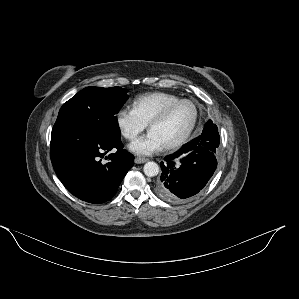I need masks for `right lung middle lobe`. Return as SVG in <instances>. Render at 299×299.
Here are the masks:
<instances>
[{
    "label": "right lung middle lobe",
    "mask_w": 299,
    "mask_h": 299,
    "mask_svg": "<svg viewBox=\"0 0 299 299\" xmlns=\"http://www.w3.org/2000/svg\"><path fill=\"white\" fill-rule=\"evenodd\" d=\"M127 98V90L120 87L84 88L61 107L51 139L75 132L120 138L116 114Z\"/></svg>",
    "instance_id": "dd1d6c3e"
}]
</instances>
